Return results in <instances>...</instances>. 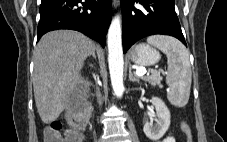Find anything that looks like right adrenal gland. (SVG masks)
Segmentation results:
<instances>
[{
    "label": "right adrenal gland",
    "mask_w": 227,
    "mask_h": 142,
    "mask_svg": "<svg viewBox=\"0 0 227 142\" xmlns=\"http://www.w3.org/2000/svg\"><path fill=\"white\" fill-rule=\"evenodd\" d=\"M91 55L93 56V58H95V59H96L95 50L92 52V54H91Z\"/></svg>",
    "instance_id": "obj_1"
}]
</instances>
